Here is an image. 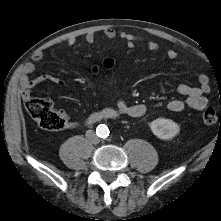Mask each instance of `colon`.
Listing matches in <instances>:
<instances>
[{
	"label": "colon",
	"mask_w": 221,
	"mask_h": 221,
	"mask_svg": "<svg viewBox=\"0 0 221 221\" xmlns=\"http://www.w3.org/2000/svg\"><path fill=\"white\" fill-rule=\"evenodd\" d=\"M106 68L114 66L113 60H107ZM25 107L29 114L37 121L39 126L47 131H60L67 127L65 117L53 109L52 103L45 98L29 96L25 99ZM219 119L217 112L207 108L202 113V120L205 124H215Z\"/></svg>",
	"instance_id": "colon-1"
}]
</instances>
